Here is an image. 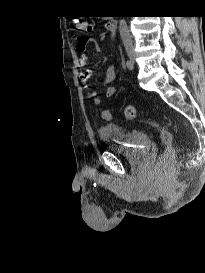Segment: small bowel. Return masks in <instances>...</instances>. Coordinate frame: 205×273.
<instances>
[{"label":"small bowel","instance_id":"1","mask_svg":"<svg viewBox=\"0 0 205 273\" xmlns=\"http://www.w3.org/2000/svg\"><path fill=\"white\" fill-rule=\"evenodd\" d=\"M93 44L97 51H100V46L98 45V42L94 38H88L86 36H78L76 38L75 42V49L78 53V59H77V66L78 67H84L87 63V54H86V47L88 44ZM93 76V73L91 70H85L80 73V80L84 85H87L89 81L91 80ZM115 78V68L114 66H109L105 76L103 78L104 83H110ZM117 92V88L115 86H109L106 90V96L107 97H113ZM91 101L94 106H100L102 104V98L99 96L96 92L90 93ZM110 114V117L108 119H105L104 117V110L102 111V117L103 119L109 121L111 120L112 116L110 111H108Z\"/></svg>","mask_w":205,"mask_h":273}]
</instances>
